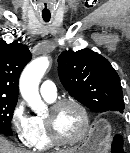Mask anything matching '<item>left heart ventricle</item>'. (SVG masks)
I'll use <instances>...</instances> for the list:
<instances>
[{
    "label": "left heart ventricle",
    "mask_w": 130,
    "mask_h": 153,
    "mask_svg": "<svg viewBox=\"0 0 130 153\" xmlns=\"http://www.w3.org/2000/svg\"><path fill=\"white\" fill-rule=\"evenodd\" d=\"M55 126L58 133L64 138H75L83 127L80 111L73 105L61 107L55 114Z\"/></svg>",
    "instance_id": "b2bd125f"
}]
</instances>
